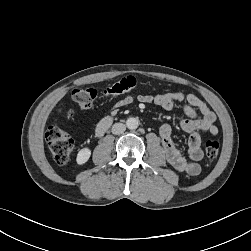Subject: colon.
<instances>
[{"mask_svg": "<svg viewBox=\"0 0 251 251\" xmlns=\"http://www.w3.org/2000/svg\"><path fill=\"white\" fill-rule=\"evenodd\" d=\"M138 85V80L133 76H128L116 81L102 90L91 87L77 88L72 92V99L79 107L87 109L93 106L100 98L114 97L132 91ZM50 152L53 159L58 164H66L74 148L72 137L57 124L50 125L45 133ZM220 150L218 139H209L205 144V154L209 160L217 158Z\"/></svg>", "mask_w": 251, "mask_h": 251, "instance_id": "colon-1", "label": "colon"}]
</instances>
